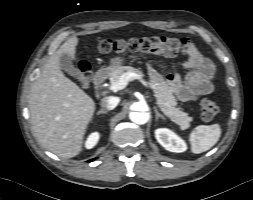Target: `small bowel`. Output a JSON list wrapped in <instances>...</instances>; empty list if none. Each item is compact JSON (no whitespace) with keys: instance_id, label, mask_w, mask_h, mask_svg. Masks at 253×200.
Listing matches in <instances>:
<instances>
[{"instance_id":"1","label":"small bowel","mask_w":253,"mask_h":200,"mask_svg":"<svg viewBox=\"0 0 253 200\" xmlns=\"http://www.w3.org/2000/svg\"><path fill=\"white\" fill-rule=\"evenodd\" d=\"M150 69L153 70L151 65ZM187 74L182 81L180 75L169 72L168 79L172 82L180 100L189 102L212 92V80L215 74L213 63L205 58L200 51L192 46L189 59L183 66Z\"/></svg>"}]
</instances>
